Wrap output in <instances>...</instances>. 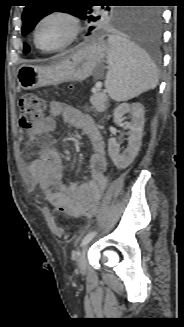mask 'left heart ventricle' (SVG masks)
Wrapping results in <instances>:
<instances>
[{
  "label": "left heart ventricle",
  "instance_id": "obj_1",
  "mask_svg": "<svg viewBox=\"0 0 184 327\" xmlns=\"http://www.w3.org/2000/svg\"><path fill=\"white\" fill-rule=\"evenodd\" d=\"M69 32V25L64 19H48L38 30L39 44L44 48L56 47L67 39Z\"/></svg>",
  "mask_w": 184,
  "mask_h": 327
}]
</instances>
